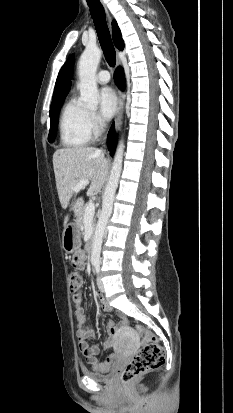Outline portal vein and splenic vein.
Masks as SVG:
<instances>
[{
	"mask_svg": "<svg viewBox=\"0 0 233 413\" xmlns=\"http://www.w3.org/2000/svg\"><path fill=\"white\" fill-rule=\"evenodd\" d=\"M89 184L88 180H81L75 187L74 192H79L81 189L85 188ZM95 214V204L90 203L89 206L85 210V220L89 218H93Z\"/></svg>",
	"mask_w": 233,
	"mask_h": 413,
	"instance_id": "obj_1",
	"label": "portal vein and splenic vein"
}]
</instances>
